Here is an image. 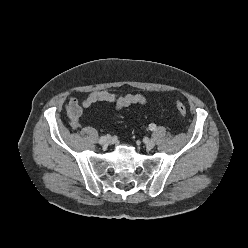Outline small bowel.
<instances>
[{"instance_id":"obj_1","label":"small bowel","mask_w":248,"mask_h":248,"mask_svg":"<svg viewBox=\"0 0 248 248\" xmlns=\"http://www.w3.org/2000/svg\"><path fill=\"white\" fill-rule=\"evenodd\" d=\"M96 102H105L111 111H120L131 105H146L148 99L145 95L125 94L119 95L108 90H95L88 93L82 100L69 97L66 105L72 128H77L84 117V109L91 108Z\"/></svg>"}]
</instances>
